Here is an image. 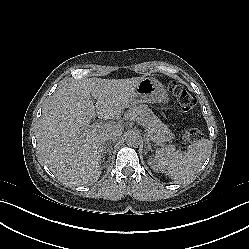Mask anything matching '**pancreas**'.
<instances>
[{"mask_svg":"<svg viewBox=\"0 0 249 249\" xmlns=\"http://www.w3.org/2000/svg\"><path fill=\"white\" fill-rule=\"evenodd\" d=\"M126 117L141 124L149 132V136L154 142L164 143L172 137L168 128L145 104L129 109Z\"/></svg>","mask_w":249,"mask_h":249,"instance_id":"obj_1","label":"pancreas"}]
</instances>
